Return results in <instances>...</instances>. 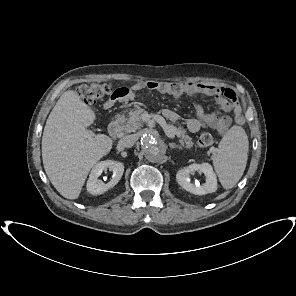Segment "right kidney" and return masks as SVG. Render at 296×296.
<instances>
[{"label": "right kidney", "instance_id": "1", "mask_svg": "<svg viewBox=\"0 0 296 296\" xmlns=\"http://www.w3.org/2000/svg\"><path fill=\"white\" fill-rule=\"evenodd\" d=\"M113 172L112 179L104 183L99 179L102 172L106 169ZM124 172V165L114 160H105L97 163L91 170L87 181V191L93 195H99L114 187L121 179Z\"/></svg>", "mask_w": 296, "mask_h": 296}]
</instances>
